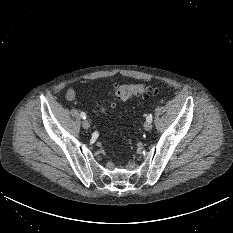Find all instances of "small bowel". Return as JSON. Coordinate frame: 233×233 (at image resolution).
Instances as JSON below:
<instances>
[{
  "instance_id": "small-bowel-1",
  "label": "small bowel",
  "mask_w": 233,
  "mask_h": 233,
  "mask_svg": "<svg viewBox=\"0 0 233 233\" xmlns=\"http://www.w3.org/2000/svg\"><path fill=\"white\" fill-rule=\"evenodd\" d=\"M75 90L74 89H70L69 91H68V93H67V98L68 99H74V97H75Z\"/></svg>"
}]
</instances>
